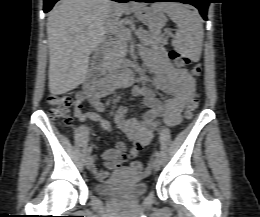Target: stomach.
<instances>
[{"label": "stomach", "instance_id": "1", "mask_svg": "<svg viewBox=\"0 0 260 217\" xmlns=\"http://www.w3.org/2000/svg\"><path fill=\"white\" fill-rule=\"evenodd\" d=\"M138 19L148 26L151 30H159L164 27L166 18L162 11L151 6L141 5L135 9Z\"/></svg>", "mask_w": 260, "mask_h": 217}]
</instances>
